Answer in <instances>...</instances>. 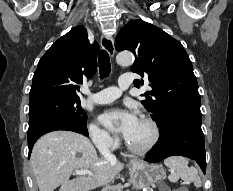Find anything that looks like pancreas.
I'll return each mask as SVG.
<instances>
[{"mask_svg":"<svg viewBox=\"0 0 233 191\" xmlns=\"http://www.w3.org/2000/svg\"><path fill=\"white\" fill-rule=\"evenodd\" d=\"M123 186L121 184L106 186L102 189V191H122Z\"/></svg>","mask_w":233,"mask_h":191,"instance_id":"cf45deb5","label":"pancreas"}]
</instances>
